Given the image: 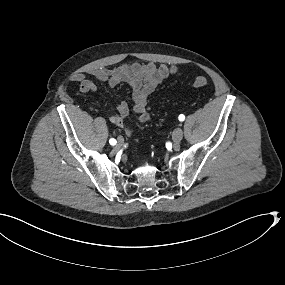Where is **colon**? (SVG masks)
<instances>
[{"mask_svg": "<svg viewBox=\"0 0 285 285\" xmlns=\"http://www.w3.org/2000/svg\"><path fill=\"white\" fill-rule=\"evenodd\" d=\"M209 84V81L206 77L198 76L189 81V85L193 88H202L206 87Z\"/></svg>", "mask_w": 285, "mask_h": 285, "instance_id": "5ec220e1", "label": "colon"}]
</instances>
